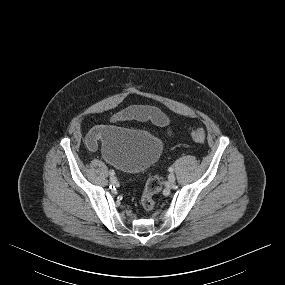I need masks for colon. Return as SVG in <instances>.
I'll return each instance as SVG.
<instances>
[{"mask_svg":"<svg viewBox=\"0 0 285 285\" xmlns=\"http://www.w3.org/2000/svg\"><path fill=\"white\" fill-rule=\"evenodd\" d=\"M191 139L196 143H202L205 140V130L198 126L193 127L189 131ZM162 188V179L158 176H152L148 179L141 197V205L143 209L150 211L154 208V195Z\"/></svg>","mask_w":285,"mask_h":285,"instance_id":"5ec220e1","label":"colon"}]
</instances>
